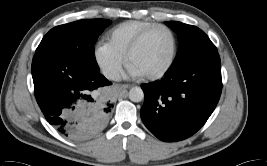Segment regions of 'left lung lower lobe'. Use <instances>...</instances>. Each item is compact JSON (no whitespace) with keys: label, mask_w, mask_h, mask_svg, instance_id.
<instances>
[{"label":"left lung lower lobe","mask_w":267,"mask_h":166,"mask_svg":"<svg viewBox=\"0 0 267 166\" xmlns=\"http://www.w3.org/2000/svg\"><path fill=\"white\" fill-rule=\"evenodd\" d=\"M141 118L160 140L175 142L196 133L214 111L222 90L218 53L174 66L162 80L141 85Z\"/></svg>","instance_id":"left-lung-lower-lobe-1"}]
</instances>
